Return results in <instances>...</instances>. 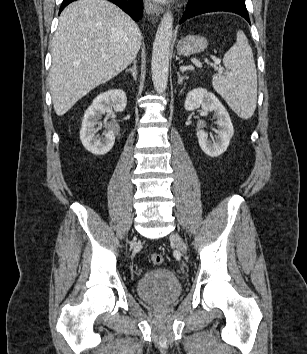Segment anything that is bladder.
<instances>
[{"label": "bladder", "instance_id": "1", "mask_svg": "<svg viewBox=\"0 0 307 354\" xmlns=\"http://www.w3.org/2000/svg\"><path fill=\"white\" fill-rule=\"evenodd\" d=\"M138 295L153 305H168L174 302L182 292L179 278L167 268L146 271L136 283Z\"/></svg>", "mask_w": 307, "mask_h": 354}]
</instances>
